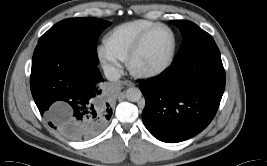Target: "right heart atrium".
Masks as SVG:
<instances>
[{
  "label": "right heart atrium",
  "mask_w": 267,
  "mask_h": 166,
  "mask_svg": "<svg viewBox=\"0 0 267 166\" xmlns=\"http://www.w3.org/2000/svg\"><path fill=\"white\" fill-rule=\"evenodd\" d=\"M97 55L103 67L112 75L118 73L122 59L107 43L101 44L97 48Z\"/></svg>",
  "instance_id": "obj_1"
}]
</instances>
